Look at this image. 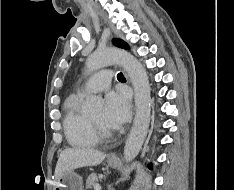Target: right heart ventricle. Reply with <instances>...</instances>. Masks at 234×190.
Returning a JSON list of instances; mask_svg holds the SVG:
<instances>
[{
	"label": "right heart ventricle",
	"instance_id": "obj_1",
	"mask_svg": "<svg viewBox=\"0 0 234 190\" xmlns=\"http://www.w3.org/2000/svg\"><path fill=\"white\" fill-rule=\"evenodd\" d=\"M83 95H70L64 103L63 127L68 143L77 148H90L97 145L99 138L82 111Z\"/></svg>",
	"mask_w": 234,
	"mask_h": 190
}]
</instances>
